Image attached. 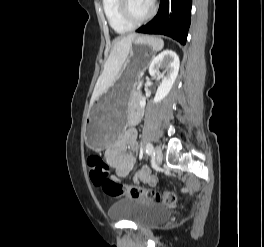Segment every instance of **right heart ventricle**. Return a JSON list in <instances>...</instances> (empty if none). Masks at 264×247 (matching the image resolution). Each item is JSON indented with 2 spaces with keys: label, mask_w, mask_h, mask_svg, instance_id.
<instances>
[{
  "label": "right heart ventricle",
  "mask_w": 264,
  "mask_h": 247,
  "mask_svg": "<svg viewBox=\"0 0 264 247\" xmlns=\"http://www.w3.org/2000/svg\"><path fill=\"white\" fill-rule=\"evenodd\" d=\"M119 0H102L103 12L111 28L123 34L132 29V25L128 24L119 13Z\"/></svg>",
  "instance_id": "right-heart-ventricle-1"
}]
</instances>
